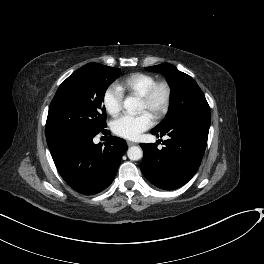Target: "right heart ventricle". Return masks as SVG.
I'll list each match as a JSON object with an SVG mask.
<instances>
[{"label":"right heart ventricle","mask_w":264,"mask_h":264,"mask_svg":"<svg viewBox=\"0 0 264 264\" xmlns=\"http://www.w3.org/2000/svg\"><path fill=\"white\" fill-rule=\"evenodd\" d=\"M156 81V77L151 74L137 72L124 78L119 83V88L122 91L141 97Z\"/></svg>","instance_id":"obj_1"}]
</instances>
